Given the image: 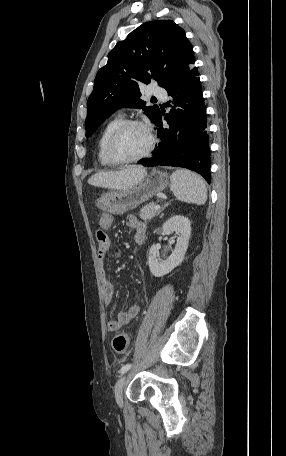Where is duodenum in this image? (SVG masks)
Here are the masks:
<instances>
[{"label":"duodenum","instance_id":"410a0bca","mask_svg":"<svg viewBox=\"0 0 286 456\" xmlns=\"http://www.w3.org/2000/svg\"><path fill=\"white\" fill-rule=\"evenodd\" d=\"M144 241H145V236H142V237L138 238V240H137V242L139 244H142Z\"/></svg>","mask_w":286,"mask_h":456}]
</instances>
